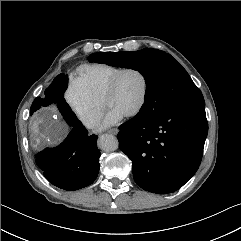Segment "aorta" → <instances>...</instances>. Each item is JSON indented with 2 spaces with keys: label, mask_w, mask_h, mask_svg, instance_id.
Listing matches in <instances>:
<instances>
[{
  "label": "aorta",
  "mask_w": 241,
  "mask_h": 241,
  "mask_svg": "<svg viewBox=\"0 0 241 241\" xmlns=\"http://www.w3.org/2000/svg\"><path fill=\"white\" fill-rule=\"evenodd\" d=\"M98 146L106 152H111L118 149L119 143L115 136L103 134L98 140Z\"/></svg>",
  "instance_id": "762f6f07"
}]
</instances>
